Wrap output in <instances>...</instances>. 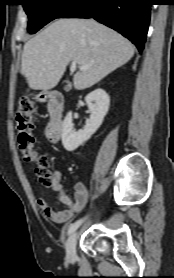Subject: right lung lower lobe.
<instances>
[{
	"label": "right lung lower lobe",
	"instance_id": "98d812e1",
	"mask_svg": "<svg viewBox=\"0 0 174 278\" xmlns=\"http://www.w3.org/2000/svg\"><path fill=\"white\" fill-rule=\"evenodd\" d=\"M151 0H78L61 17L94 18L144 48Z\"/></svg>",
	"mask_w": 174,
	"mask_h": 278
}]
</instances>
